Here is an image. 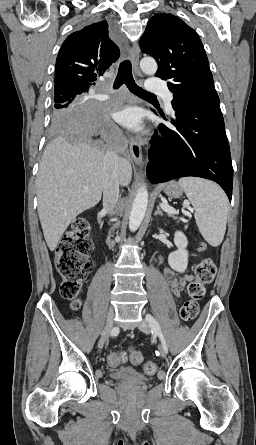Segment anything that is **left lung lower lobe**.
<instances>
[{
    "mask_svg": "<svg viewBox=\"0 0 256 445\" xmlns=\"http://www.w3.org/2000/svg\"><path fill=\"white\" fill-rule=\"evenodd\" d=\"M172 107L175 129L160 124L151 140L149 180L159 183L185 176L207 178L217 182L231 201L233 168L220 106L178 100Z\"/></svg>",
    "mask_w": 256,
    "mask_h": 445,
    "instance_id": "1",
    "label": "left lung lower lobe"
}]
</instances>
